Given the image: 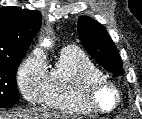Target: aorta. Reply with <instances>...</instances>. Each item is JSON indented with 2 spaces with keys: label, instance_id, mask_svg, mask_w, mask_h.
<instances>
[{
  "label": "aorta",
  "instance_id": "obj_1",
  "mask_svg": "<svg viewBox=\"0 0 142 119\" xmlns=\"http://www.w3.org/2000/svg\"><path fill=\"white\" fill-rule=\"evenodd\" d=\"M42 45L45 47H49L51 45V43L48 39H45Z\"/></svg>",
  "mask_w": 142,
  "mask_h": 119
}]
</instances>
